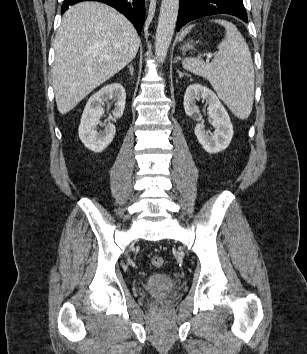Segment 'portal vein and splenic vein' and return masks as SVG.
Segmentation results:
<instances>
[{"label": "portal vein and splenic vein", "mask_w": 307, "mask_h": 354, "mask_svg": "<svg viewBox=\"0 0 307 354\" xmlns=\"http://www.w3.org/2000/svg\"><path fill=\"white\" fill-rule=\"evenodd\" d=\"M212 56L211 55H208L207 58L210 59Z\"/></svg>", "instance_id": "obj_1"}]
</instances>
